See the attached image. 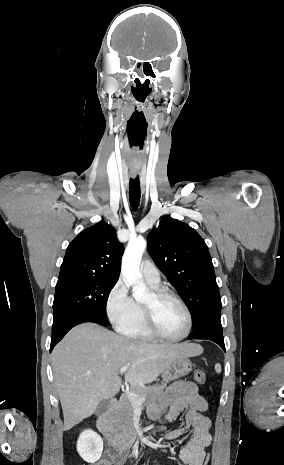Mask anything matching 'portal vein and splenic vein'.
Returning a JSON list of instances; mask_svg holds the SVG:
<instances>
[{"label": "portal vein and splenic vein", "instance_id": "1", "mask_svg": "<svg viewBox=\"0 0 284 465\" xmlns=\"http://www.w3.org/2000/svg\"><path fill=\"white\" fill-rule=\"evenodd\" d=\"M127 369H129V367H121L119 375L126 373ZM126 397L129 399L132 407H141V405H143V403L146 401L145 397H139V395H136V393H131V391H127Z\"/></svg>", "mask_w": 284, "mask_h": 465}]
</instances>
